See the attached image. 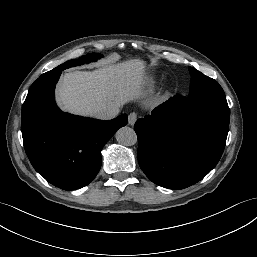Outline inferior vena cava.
Instances as JSON below:
<instances>
[{
	"label": "inferior vena cava",
	"instance_id": "obj_1",
	"mask_svg": "<svg viewBox=\"0 0 257 257\" xmlns=\"http://www.w3.org/2000/svg\"><path fill=\"white\" fill-rule=\"evenodd\" d=\"M120 112V108L117 106L109 108H97L93 111L92 116L100 120H110L115 118Z\"/></svg>",
	"mask_w": 257,
	"mask_h": 257
}]
</instances>
